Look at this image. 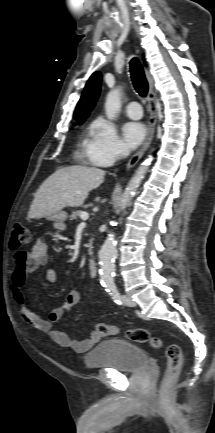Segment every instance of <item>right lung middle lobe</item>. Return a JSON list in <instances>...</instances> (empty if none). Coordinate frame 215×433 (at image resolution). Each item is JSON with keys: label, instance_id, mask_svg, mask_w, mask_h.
I'll use <instances>...</instances> for the list:
<instances>
[{"label": "right lung middle lobe", "instance_id": "right-lung-middle-lobe-1", "mask_svg": "<svg viewBox=\"0 0 215 433\" xmlns=\"http://www.w3.org/2000/svg\"><path fill=\"white\" fill-rule=\"evenodd\" d=\"M78 124H81V123H83V122H77Z\"/></svg>", "mask_w": 215, "mask_h": 433}]
</instances>
